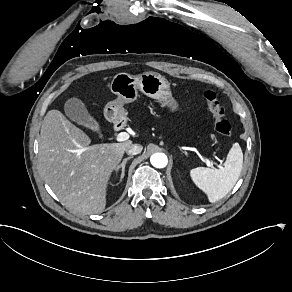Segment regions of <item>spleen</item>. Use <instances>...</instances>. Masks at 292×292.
<instances>
[{"mask_svg": "<svg viewBox=\"0 0 292 292\" xmlns=\"http://www.w3.org/2000/svg\"><path fill=\"white\" fill-rule=\"evenodd\" d=\"M243 167V152L238 143L230 149L224 167H197L190 171L193 182L203 190L211 203L225 197L236 184Z\"/></svg>", "mask_w": 292, "mask_h": 292, "instance_id": "spleen-1", "label": "spleen"}]
</instances>
